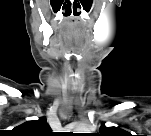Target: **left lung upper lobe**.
<instances>
[{"label": "left lung upper lobe", "instance_id": "obj_1", "mask_svg": "<svg viewBox=\"0 0 151 136\" xmlns=\"http://www.w3.org/2000/svg\"><path fill=\"white\" fill-rule=\"evenodd\" d=\"M100 133L101 135H104V136H109V135H114V134H117V133H120V130L116 127H106V126H102L100 127Z\"/></svg>", "mask_w": 151, "mask_h": 136}]
</instances>
